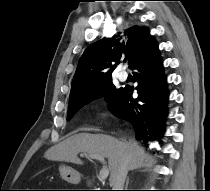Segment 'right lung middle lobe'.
Masks as SVG:
<instances>
[{
    "mask_svg": "<svg viewBox=\"0 0 210 191\" xmlns=\"http://www.w3.org/2000/svg\"><path fill=\"white\" fill-rule=\"evenodd\" d=\"M121 90L122 88L116 89V87L112 83L111 78L108 81L101 84L100 86L91 90L90 92L78 96L76 98L70 99L67 120L69 121L73 117V115L85 104L97 98L105 97L106 100L109 102L110 106L115 100V98L118 96V94L121 92Z\"/></svg>",
    "mask_w": 210,
    "mask_h": 191,
    "instance_id": "obj_1",
    "label": "right lung middle lobe"
}]
</instances>
